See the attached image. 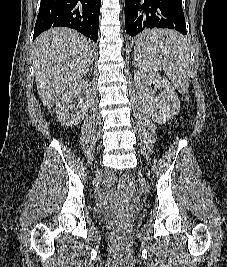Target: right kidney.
Listing matches in <instances>:
<instances>
[{"mask_svg":"<svg viewBox=\"0 0 227 267\" xmlns=\"http://www.w3.org/2000/svg\"><path fill=\"white\" fill-rule=\"evenodd\" d=\"M91 83L81 80L62 95L56 104V115L60 123L75 126L85 117L89 108Z\"/></svg>","mask_w":227,"mask_h":267,"instance_id":"1","label":"right kidney"}]
</instances>
